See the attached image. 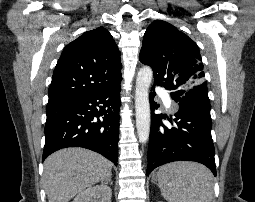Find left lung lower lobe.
<instances>
[{
	"instance_id": "left-lung-lower-lobe-1",
	"label": "left lung lower lobe",
	"mask_w": 255,
	"mask_h": 202,
	"mask_svg": "<svg viewBox=\"0 0 255 202\" xmlns=\"http://www.w3.org/2000/svg\"><path fill=\"white\" fill-rule=\"evenodd\" d=\"M155 93L150 94V107L155 110ZM162 114H151L147 175L156 167L179 160L196 161L206 165L216 176L214 145L211 137L210 110L179 104L172 128L166 127Z\"/></svg>"
}]
</instances>
